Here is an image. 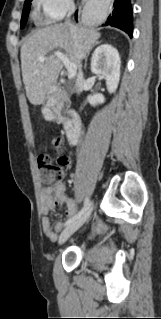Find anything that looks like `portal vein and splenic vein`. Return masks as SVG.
<instances>
[{"mask_svg": "<svg viewBox=\"0 0 161 319\" xmlns=\"http://www.w3.org/2000/svg\"><path fill=\"white\" fill-rule=\"evenodd\" d=\"M55 56L57 58H59L62 61V63L65 65L67 72H68V78L69 79L73 78L75 73H76V69H77L76 64L74 62H71L68 59L67 55H65L59 51L55 52ZM45 59H46L45 56L38 57L39 61H44Z\"/></svg>", "mask_w": 161, "mask_h": 319, "instance_id": "1", "label": "portal vein and splenic vein"}]
</instances>
